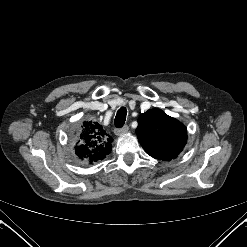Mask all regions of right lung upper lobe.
Wrapping results in <instances>:
<instances>
[{
	"label": "right lung upper lobe",
	"mask_w": 247,
	"mask_h": 247,
	"mask_svg": "<svg viewBox=\"0 0 247 247\" xmlns=\"http://www.w3.org/2000/svg\"><path fill=\"white\" fill-rule=\"evenodd\" d=\"M111 142L112 138L100 123L87 120L75 141V155L82 162L92 164L103 160L111 152Z\"/></svg>",
	"instance_id": "1"
}]
</instances>
